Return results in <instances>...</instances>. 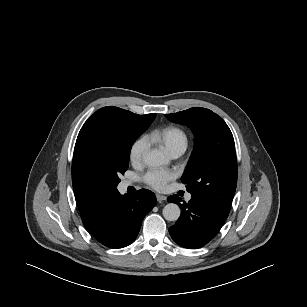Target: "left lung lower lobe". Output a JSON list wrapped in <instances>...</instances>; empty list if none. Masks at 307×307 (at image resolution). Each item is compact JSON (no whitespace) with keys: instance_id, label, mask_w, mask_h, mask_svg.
I'll return each mask as SVG.
<instances>
[{"instance_id":"1","label":"left lung lower lobe","mask_w":307,"mask_h":307,"mask_svg":"<svg viewBox=\"0 0 307 307\" xmlns=\"http://www.w3.org/2000/svg\"><path fill=\"white\" fill-rule=\"evenodd\" d=\"M167 200L178 204L182 209L181 217L169 228L172 239L182 247H203L219 232L226 220L197 199L191 198L188 203H181L180 197L172 195Z\"/></svg>"}]
</instances>
